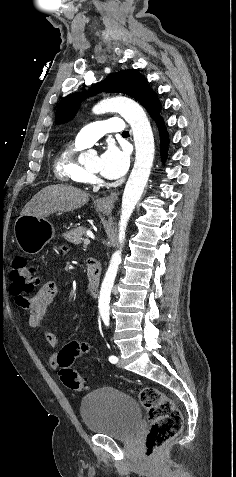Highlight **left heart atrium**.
<instances>
[{
	"label": "left heart atrium",
	"mask_w": 236,
	"mask_h": 477,
	"mask_svg": "<svg viewBox=\"0 0 236 477\" xmlns=\"http://www.w3.org/2000/svg\"><path fill=\"white\" fill-rule=\"evenodd\" d=\"M129 165L128 154L110 143L100 157V173L109 179L121 177Z\"/></svg>",
	"instance_id": "1"
}]
</instances>
